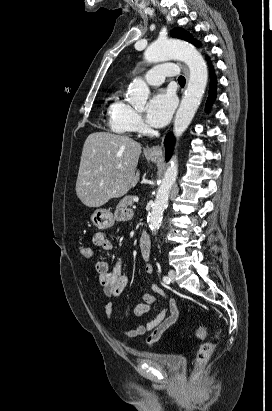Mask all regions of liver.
<instances>
[{
	"mask_svg": "<svg viewBox=\"0 0 272 411\" xmlns=\"http://www.w3.org/2000/svg\"><path fill=\"white\" fill-rule=\"evenodd\" d=\"M141 144L128 136L95 132L85 140L76 194L88 207H100L125 195L139 181Z\"/></svg>",
	"mask_w": 272,
	"mask_h": 411,
	"instance_id": "1",
	"label": "liver"
}]
</instances>
